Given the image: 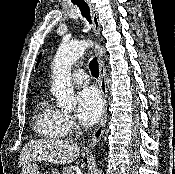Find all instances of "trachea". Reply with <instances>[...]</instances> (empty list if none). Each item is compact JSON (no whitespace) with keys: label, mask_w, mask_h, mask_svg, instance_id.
<instances>
[{"label":"trachea","mask_w":175,"mask_h":174,"mask_svg":"<svg viewBox=\"0 0 175 174\" xmlns=\"http://www.w3.org/2000/svg\"><path fill=\"white\" fill-rule=\"evenodd\" d=\"M75 1L76 2H74V3L80 9L82 16L91 24L92 20H91V16H90V9H89V6L87 5V3L85 1H83V0H75ZM90 70H91V74L95 78H98V76H99V68H98L97 58H94L90 62Z\"/></svg>","instance_id":"obj_1"}]
</instances>
